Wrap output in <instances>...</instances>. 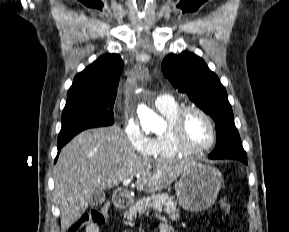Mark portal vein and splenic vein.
Returning <instances> with one entry per match:
<instances>
[{"label": "portal vein and splenic vein", "mask_w": 289, "mask_h": 232, "mask_svg": "<svg viewBox=\"0 0 289 232\" xmlns=\"http://www.w3.org/2000/svg\"><path fill=\"white\" fill-rule=\"evenodd\" d=\"M133 180V177L127 178L123 181V185H128Z\"/></svg>", "instance_id": "18ae733b"}]
</instances>
